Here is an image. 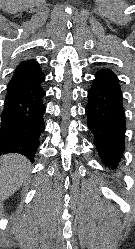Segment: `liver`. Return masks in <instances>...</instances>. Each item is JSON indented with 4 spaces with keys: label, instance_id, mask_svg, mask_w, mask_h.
Returning a JSON list of instances; mask_svg holds the SVG:
<instances>
[{
    "label": "liver",
    "instance_id": "6515ba94",
    "mask_svg": "<svg viewBox=\"0 0 135 249\" xmlns=\"http://www.w3.org/2000/svg\"><path fill=\"white\" fill-rule=\"evenodd\" d=\"M0 200L14 194L28 177L29 160L20 154H7L0 159Z\"/></svg>",
    "mask_w": 135,
    "mask_h": 249
}]
</instances>
